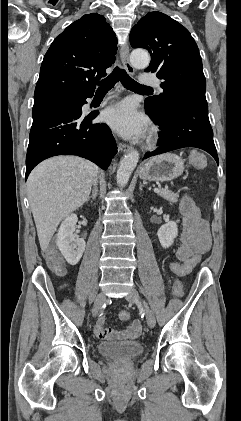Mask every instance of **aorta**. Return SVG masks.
I'll use <instances>...</instances> for the list:
<instances>
[{
    "mask_svg": "<svg viewBox=\"0 0 241 421\" xmlns=\"http://www.w3.org/2000/svg\"><path fill=\"white\" fill-rule=\"evenodd\" d=\"M131 64L135 68H146L150 63V55L143 49H135L130 55ZM139 161V153L136 150L129 152L120 161L117 170V184L120 187L125 186Z\"/></svg>",
    "mask_w": 241,
    "mask_h": 421,
    "instance_id": "aorta-1",
    "label": "aorta"
}]
</instances>
